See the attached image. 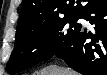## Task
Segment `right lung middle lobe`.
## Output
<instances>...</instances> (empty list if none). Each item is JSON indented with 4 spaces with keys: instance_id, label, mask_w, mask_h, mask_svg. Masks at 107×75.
<instances>
[{
    "instance_id": "obj_1",
    "label": "right lung middle lobe",
    "mask_w": 107,
    "mask_h": 75,
    "mask_svg": "<svg viewBox=\"0 0 107 75\" xmlns=\"http://www.w3.org/2000/svg\"><path fill=\"white\" fill-rule=\"evenodd\" d=\"M79 18L80 14H72L31 30L18 27L8 72L24 71L55 56L81 30L77 23Z\"/></svg>"
}]
</instances>
